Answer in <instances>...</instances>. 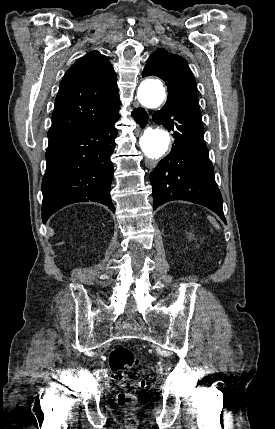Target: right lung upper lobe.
<instances>
[{
    "mask_svg": "<svg viewBox=\"0 0 275 429\" xmlns=\"http://www.w3.org/2000/svg\"><path fill=\"white\" fill-rule=\"evenodd\" d=\"M117 77L109 60L92 51L72 65L62 78L48 137L104 122L118 115Z\"/></svg>",
    "mask_w": 275,
    "mask_h": 429,
    "instance_id": "cb5924a9",
    "label": "right lung upper lobe"
}]
</instances>
